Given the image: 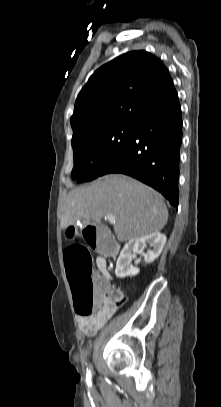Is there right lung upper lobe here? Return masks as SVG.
Masks as SVG:
<instances>
[{
	"mask_svg": "<svg viewBox=\"0 0 221 407\" xmlns=\"http://www.w3.org/2000/svg\"><path fill=\"white\" fill-rule=\"evenodd\" d=\"M168 69L146 51H132L103 65L80 91L70 119L72 142L123 124H136L174 92Z\"/></svg>",
	"mask_w": 221,
	"mask_h": 407,
	"instance_id": "cb5924a9",
	"label": "right lung upper lobe"
}]
</instances>
